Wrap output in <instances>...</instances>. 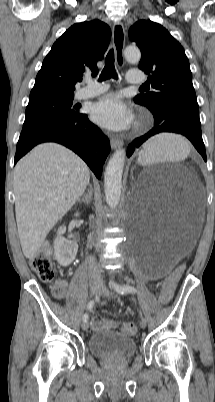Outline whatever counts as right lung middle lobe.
<instances>
[{
    "label": "right lung middle lobe",
    "mask_w": 215,
    "mask_h": 402,
    "mask_svg": "<svg viewBox=\"0 0 215 402\" xmlns=\"http://www.w3.org/2000/svg\"><path fill=\"white\" fill-rule=\"evenodd\" d=\"M73 95H45L30 98L26 117L17 144L24 143L38 133L77 118L73 109Z\"/></svg>",
    "instance_id": "obj_1"
}]
</instances>
